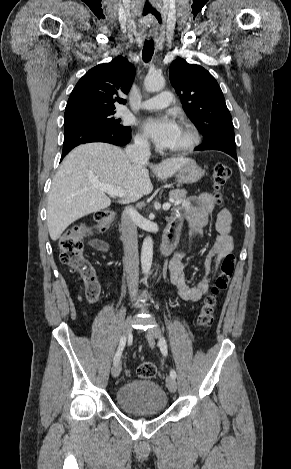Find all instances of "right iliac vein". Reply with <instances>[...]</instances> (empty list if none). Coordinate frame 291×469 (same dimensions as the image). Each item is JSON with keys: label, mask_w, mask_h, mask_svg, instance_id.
<instances>
[{"label": "right iliac vein", "mask_w": 291, "mask_h": 469, "mask_svg": "<svg viewBox=\"0 0 291 469\" xmlns=\"http://www.w3.org/2000/svg\"><path fill=\"white\" fill-rule=\"evenodd\" d=\"M131 331H132V317H128L126 322H125V325H124V329H123V336L125 338H128L129 335L131 334ZM121 362L118 361L116 363H114L112 369H111V373H112V376L113 377H118L120 372H121Z\"/></svg>", "instance_id": "right-iliac-vein-1"}]
</instances>
